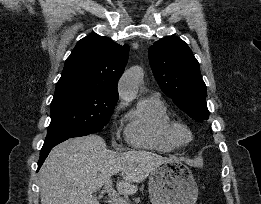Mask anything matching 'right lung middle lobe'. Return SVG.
Instances as JSON below:
<instances>
[{
	"label": "right lung middle lobe",
	"instance_id": "1",
	"mask_svg": "<svg viewBox=\"0 0 261 204\" xmlns=\"http://www.w3.org/2000/svg\"><path fill=\"white\" fill-rule=\"evenodd\" d=\"M117 100L86 90L54 95L45 141L101 131L108 123Z\"/></svg>",
	"mask_w": 261,
	"mask_h": 204
}]
</instances>
